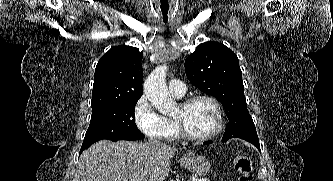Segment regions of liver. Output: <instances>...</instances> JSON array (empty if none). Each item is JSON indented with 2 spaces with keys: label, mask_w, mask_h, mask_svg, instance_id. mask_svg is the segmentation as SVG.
I'll list each match as a JSON object with an SVG mask.
<instances>
[{
  "label": "liver",
  "mask_w": 333,
  "mask_h": 181,
  "mask_svg": "<svg viewBox=\"0 0 333 181\" xmlns=\"http://www.w3.org/2000/svg\"><path fill=\"white\" fill-rule=\"evenodd\" d=\"M176 148L101 140L79 159L81 181H164Z\"/></svg>",
  "instance_id": "1"
}]
</instances>
